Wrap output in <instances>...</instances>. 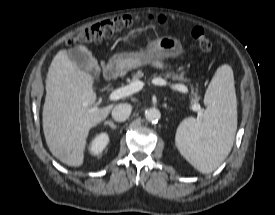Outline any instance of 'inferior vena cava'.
<instances>
[{"label": "inferior vena cava", "instance_id": "1", "mask_svg": "<svg viewBox=\"0 0 275 215\" xmlns=\"http://www.w3.org/2000/svg\"><path fill=\"white\" fill-rule=\"evenodd\" d=\"M131 111L132 106L130 104H118L112 110V118L117 122H123L130 116Z\"/></svg>", "mask_w": 275, "mask_h": 215}]
</instances>
